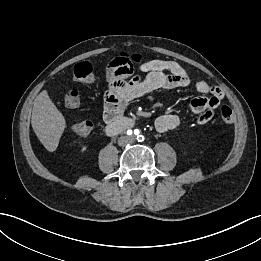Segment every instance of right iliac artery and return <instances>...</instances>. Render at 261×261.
I'll return each mask as SVG.
<instances>
[{"label":"right iliac artery","mask_w":261,"mask_h":261,"mask_svg":"<svg viewBox=\"0 0 261 261\" xmlns=\"http://www.w3.org/2000/svg\"><path fill=\"white\" fill-rule=\"evenodd\" d=\"M127 134H128V135H131V134H132V131H131V130H128V131H127Z\"/></svg>","instance_id":"right-iliac-artery-1"}]
</instances>
